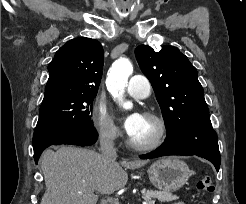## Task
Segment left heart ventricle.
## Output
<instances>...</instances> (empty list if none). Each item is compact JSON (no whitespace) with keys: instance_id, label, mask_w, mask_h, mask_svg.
Wrapping results in <instances>:
<instances>
[{"instance_id":"obj_1","label":"left heart ventricle","mask_w":246,"mask_h":204,"mask_svg":"<svg viewBox=\"0 0 246 204\" xmlns=\"http://www.w3.org/2000/svg\"><path fill=\"white\" fill-rule=\"evenodd\" d=\"M156 132L155 122L143 116L138 129L130 137L138 143H146L155 137Z\"/></svg>"}]
</instances>
